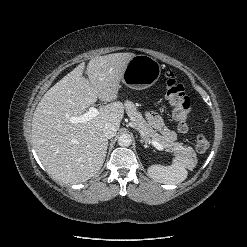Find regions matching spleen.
Wrapping results in <instances>:
<instances>
[{
  "mask_svg": "<svg viewBox=\"0 0 247 247\" xmlns=\"http://www.w3.org/2000/svg\"><path fill=\"white\" fill-rule=\"evenodd\" d=\"M192 163L190 158L177 157L169 166L151 165L148 168V175L159 183L179 184L187 178V169L192 168Z\"/></svg>",
  "mask_w": 247,
  "mask_h": 247,
  "instance_id": "3e777b00",
  "label": "spleen"
}]
</instances>
